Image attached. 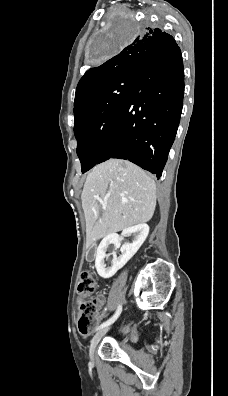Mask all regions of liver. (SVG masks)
<instances>
[{
  "instance_id": "6515ba94",
  "label": "liver",
  "mask_w": 228,
  "mask_h": 396,
  "mask_svg": "<svg viewBox=\"0 0 228 396\" xmlns=\"http://www.w3.org/2000/svg\"><path fill=\"white\" fill-rule=\"evenodd\" d=\"M81 200L86 243L91 246L109 234L148 222L155 211L156 184L135 164L110 159L87 175Z\"/></svg>"
}]
</instances>
